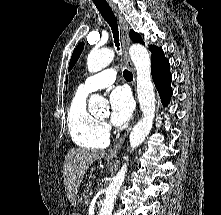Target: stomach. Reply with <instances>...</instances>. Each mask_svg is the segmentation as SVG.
Masks as SVG:
<instances>
[{"label":"stomach","mask_w":221,"mask_h":215,"mask_svg":"<svg viewBox=\"0 0 221 215\" xmlns=\"http://www.w3.org/2000/svg\"><path fill=\"white\" fill-rule=\"evenodd\" d=\"M107 161H108V162H112L113 160H112V159L107 158ZM73 215H79V214H78V213H74Z\"/></svg>","instance_id":"1"}]
</instances>
